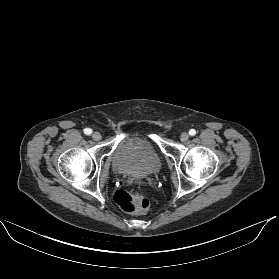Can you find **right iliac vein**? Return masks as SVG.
I'll return each mask as SVG.
<instances>
[{"label":"right iliac vein","instance_id":"right-iliac-vein-1","mask_svg":"<svg viewBox=\"0 0 279 279\" xmlns=\"http://www.w3.org/2000/svg\"><path fill=\"white\" fill-rule=\"evenodd\" d=\"M92 138H93V140L98 141L101 139V134L99 132H94L92 134Z\"/></svg>","mask_w":279,"mask_h":279}]
</instances>
